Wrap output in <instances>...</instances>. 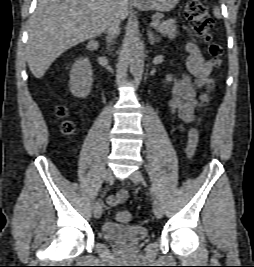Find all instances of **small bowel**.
<instances>
[{
    "label": "small bowel",
    "instance_id": "obj_1",
    "mask_svg": "<svg viewBox=\"0 0 254 267\" xmlns=\"http://www.w3.org/2000/svg\"><path fill=\"white\" fill-rule=\"evenodd\" d=\"M188 52L187 71L181 77L175 78L167 75L166 85H172V98L170 100V112L186 123L194 119L195 110L207 100L205 95L197 96V90L201 88L212 70V64L203 57L197 45L193 42L186 44ZM128 192L122 189L115 195L107 198L110 206H117L126 202Z\"/></svg>",
    "mask_w": 254,
    "mask_h": 267
}]
</instances>
